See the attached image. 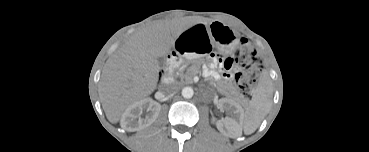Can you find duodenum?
Wrapping results in <instances>:
<instances>
[{"mask_svg":"<svg viewBox=\"0 0 369 152\" xmlns=\"http://www.w3.org/2000/svg\"><path fill=\"white\" fill-rule=\"evenodd\" d=\"M174 58H175L174 56H171V58L169 59L170 61L169 65L163 73L161 80L164 84H169L172 82V79H173V62L172 61Z\"/></svg>","mask_w":369,"mask_h":152,"instance_id":"1","label":"duodenum"}]
</instances>
